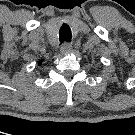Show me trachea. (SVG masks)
Listing matches in <instances>:
<instances>
[{"instance_id":"obj_1","label":"trachea","mask_w":135,"mask_h":135,"mask_svg":"<svg viewBox=\"0 0 135 135\" xmlns=\"http://www.w3.org/2000/svg\"><path fill=\"white\" fill-rule=\"evenodd\" d=\"M59 39L61 43H69L71 41V29L68 24H63L59 30Z\"/></svg>"}]
</instances>
